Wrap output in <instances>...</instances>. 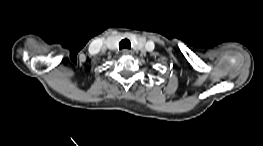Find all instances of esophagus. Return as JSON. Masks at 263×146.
<instances>
[{
    "instance_id": "34e87169",
    "label": "esophagus",
    "mask_w": 263,
    "mask_h": 146,
    "mask_svg": "<svg viewBox=\"0 0 263 146\" xmlns=\"http://www.w3.org/2000/svg\"><path fill=\"white\" fill-rule=\"evenodd\" d=\"M132 52L130 51V50H128V49H123L122 50V54L123 55H129V54H131Z\"/></svg>"
}]
</instances>
